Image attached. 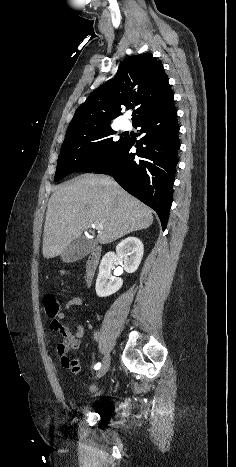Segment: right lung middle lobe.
Listing matches in <instances>:
<instances>
[{"instance_id": "right-lung-middle-lobe-1", "label": "right lung middle lobe", "mask_w": 236, "mask_h": 467, "mask_svg": "<svg viewBox=\"0 0 236 467\" xmlns=\"http://www.w3.org/2000/svg\"><path fill=\"white\" fill-rule=\"evenodd\" d=\"M110 127L78 134H66L57 161L55 181L73 172H92L110 160L124 145L127 136L114 138Z\"/></svg>"}]
</instances>
